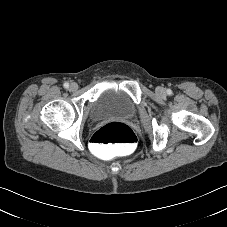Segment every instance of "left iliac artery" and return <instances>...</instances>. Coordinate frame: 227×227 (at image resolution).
<instances>
[{"label": "left iliac artery", "instance_id": "obj_1", "mask_svg": "<svg viewBox=\"0 0 227 227\" xmlns=\"http://www.w3.org/2000/svg\"><path fill=\"white\" fill-rule=\"evenodd\" d=\"M167 94L171 95L172 91L170 89L167 90Z\"/></svg>", "mask_w": 227, "mask_h": 227}]
</instances>
